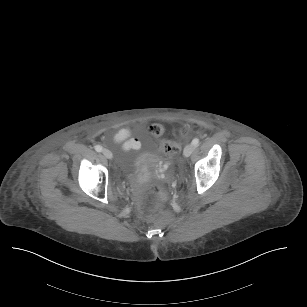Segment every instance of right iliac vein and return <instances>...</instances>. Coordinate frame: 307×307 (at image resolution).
I'll use <instances>...</instances> for the list:
<instances>
[{"label":"right iliac vein","mask_w":307,"mask_h":307,"mask_svg":"<svg viewBox=\"0 0 307 307\" xmlns=\"http://www.w3.org/2000/svg\"><path fill=\"white\" fill-rule=\"evenodd\" d=\"M103 155L108 158V159H111L112 158V153L111 151H109L108 149H104L103 151Z\"/></svg>","instance_id":"63e3f726"}]
</instances>
